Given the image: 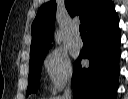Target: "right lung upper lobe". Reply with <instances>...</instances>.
Returning a JSON list of instances; mask_svg holds the SVG:
<instances>
[{"label": "right lung upper lobe", "instance_id": "cb5924a9", "mask_svg": "<svg viewBox=\"0 0 128 99\" xmlns=\"http://www.w3.org/2000/svg\"><path fill=\"white\" fill-rule=\"evenodd\" d=\"M111 0H65V7L71 17L80 16L82 23L88 28L101 17L111 6ZM56 1L43 4L32 23V42L30 58L47 53L53 40Z\"/></svg>", "mask_w": 128, "mask_h": 99}]
</instances>
